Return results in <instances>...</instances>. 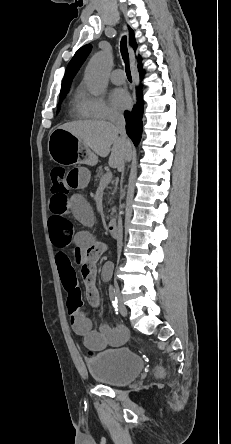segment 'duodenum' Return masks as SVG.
Masks as SVG:
<instances>
[{"label": "duodenum", "mask_w": 231, "mask_h": 444, "mask_svg": "<svg viewBox=\"0 0 231 444\" xmlns=\"http://www.w3.org/2000/svg\"><path fill=\"white\" fill-rule=\"evenodd\" d=\"M117 219H113L108 223L107 226V232L111 237H116L117 236ZM105 279L107 278V276L105 275L104 277Z\"/></svg>", "instance_id": "obj_1"}]
</instances>
